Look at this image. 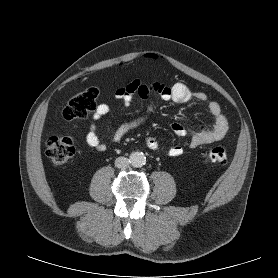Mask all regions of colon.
Segmentation results:
<instances>
[{
  "mask_svg": "<svg viewBox=\"0 0 278 278\" xmlns=\"http://www.w3.org/2000/svg\"><path fill=\"white\" fill-rule=\"evenodd\" d=\"M99 91L96 87H89L73 97L62 110V118L74 121L86 118L97 106ZM73 139L69 136H53L46 142V155L56 165H64L74 155ZM205 159L212 164L223 165L227 161L226 151L222 147L210 149Z\"/></svg>",
  "mask_w": 278,
  "mask_h": 278,
  "instance_id": "1",
  "label": "colon"
}]
</instances>
